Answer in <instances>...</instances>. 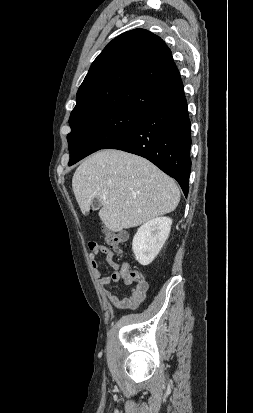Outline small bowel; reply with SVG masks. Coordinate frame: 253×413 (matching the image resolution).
<instances>
[{"label": "small bowel", "instance_id": "small-bowel-1", "mask_svg": "<svg viewBox=\"0 0 253 413\" xmlns=\"http://www.w3.org/2000/svg\"><path fill=\"white\" fill-rule=\"evenodd\" d=\"M89 260L94 275L98 278V283L102 288L104 296L110 302V304L120 310H134L138 308L145 300L148 290L147 281H136L126 270L128 265H119L114 260V251L96 242L89 243ZM103 253L106 256L108 265L113 269V273L109 276L102 275L99 262L97 261V255ZM135 283L131 292L128 295H120L116 292H111L105 289L106 286L112 284H122L129 286Z\"/></svg>", "mask_w": 253, "mask_h": 413}]
</instances>
